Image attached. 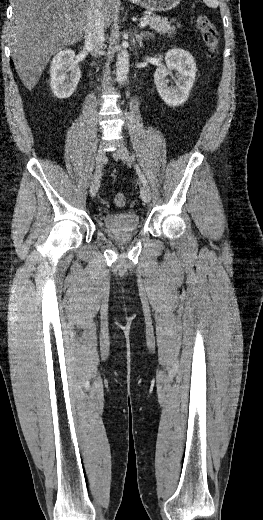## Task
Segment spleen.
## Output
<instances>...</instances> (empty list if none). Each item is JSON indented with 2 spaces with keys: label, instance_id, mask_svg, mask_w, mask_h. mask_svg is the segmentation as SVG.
<instances>
[{
  "label": "spleen",
  "instance_id": "spleen-1",
  "mask_svg": "<svg viewBox=\"0 0 263 520\" xmlns=\"http://www.w3.org/2000/svg\"><path fill=\"white\" fill-rule=\"evenodd\" d=\"M208 7L217 8L218 0H203Z\"/></svg>",
  "mask_w": 263,
  "mask_h": 520
}]
</instances>
